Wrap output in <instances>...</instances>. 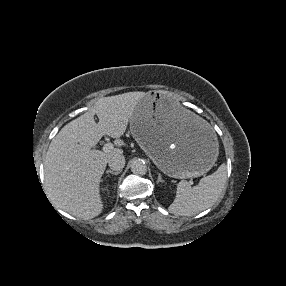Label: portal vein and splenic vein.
Returning <instances> with one entry per match:
<instances>
[{"label": "portal vein and splenic vein", "mask_w": 286, "mask_h": 286, "mask_svg": "<svg viewBox=\"0 0 286 286\" xmlns=\"http://www.w3.org/2000/svg\"><path fill=\"white\" fill-rule=\"evenodd\" d=\"M113 149H114V145H113L112 143H106V144L103 146V151H104L105 153L111 152Z\"/></svg>", "instance_id": "portal-vein-and-splenic-vein-1"}]
</instances>
